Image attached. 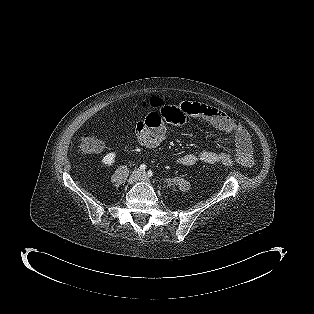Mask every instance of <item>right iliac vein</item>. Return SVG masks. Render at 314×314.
Listing matches in <instances>:
<instances>
[{"mask_svg":"<svg viewBox=\"0 0 314 314\" xmlns=\"http://www.w3.org/2000/svg\"><path fill=\"white\" fill-rule=\"evenodd\" d=\"M141 172L139 170H134L128 179V184L132 185L140 178Z\"/></svg>","mask_w":314,"mask_h":314,"instance_id":"right-iliac-vein-1","label":"right iliac vein"}]
</instances>
